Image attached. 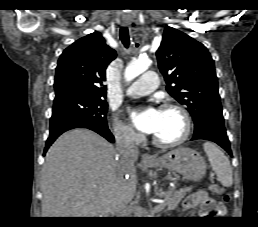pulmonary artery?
<instances>
[{
	"mask_svg": "<svg viewBox=\"0 0 258 227\" xmlns=\"http://www.w3.org/2000/svg\"><path fill=\"white\" fill-rule=\"evenodd\" d=\"M158 85V77L155 72L149 71L142 75L126 90L131 97H141L150 94Z\"/></svg>",
	"mask_w": 258,
	"mask_h": 227,
	"instance_id": "obj_1",
	"label": "pulmonary artery"
}]
</instances>
